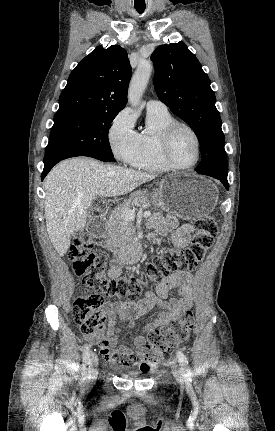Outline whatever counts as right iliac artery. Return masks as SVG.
Returning a JSON list of instances; mask_svg holds the SVG:
<instances>
[{"instance_id": "1", "label": "right iliac artery", "mask_w": 275, "mask_h": 431, "mask_svg": "<svg viewBox=\"0 0 275 431\" xmlns=\"http://www.w3.org/2000/svg\"><path fill=\"white\" fill-rule=\"evenodd\" d=\"M90 359V346L88 344H85L83 347V375H85V369L87 364L89 363Z\"/></svg>"}]
</instances>
